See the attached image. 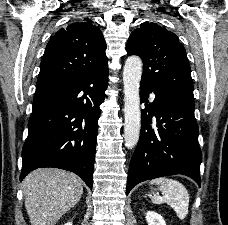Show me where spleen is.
Instances as JSON below:
<instances>
[{
	"label": "spleen",
	"instance_id": "spleen-1",
	"mask_svg": "<svg viewBox=\"0 0 228 225\" xmlns=\"http://www.w3.org/2000/svg\"><path fill=\"white\" fill-rule=\"evenodd\" d=\"M150 185H158V191L164 193L163 197L160 195H151L150 199L154 205H161V203H167L171 209L175 211L178 219H185L188 215L189 209V193L179 181H173V179H154L150 181Z\"/></svg>",
	"mask_w": 228,
	"mask_h": 225
}]
</instances>
